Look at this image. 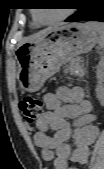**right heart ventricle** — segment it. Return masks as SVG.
I'll list each match as a JSON object with an SVG mask.
<instances>
[{
  "instance_id": "1",
  "label": "right heart ventricle",
  "mask_w": 104,
  "mask_h": 169,
  "mask_svg": "<svg viewBox=\"0 0 104 169\" xmlns=\"http://www.w3.org/2000/svg\"><path fill=\"white\" fill-rule=\"evenodd\" d=\"M33 26H36V23H33Z\"/></svg>"
}]
</instances>
